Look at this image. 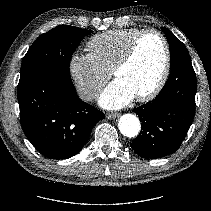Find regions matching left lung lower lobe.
<instances>
[{
    "label": "left lung lower lobe",
    "instance_id": "1",
    "mask_svg": "<svg viewBox=\"0 0 211 211\" xmlns=\"http://www.w3.org/2000/svg\"><path fill=\"white\" fill-rule=\"evenodd\" d=\"M170 69L158 96L133 110L142 126L139 136L130 146L146 159L176 152L194 118L197 87L191 60L181 61Z\"/></svg>",
    "mask_w": 211,
    "mask_h": 211
}]
</instances>
